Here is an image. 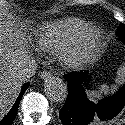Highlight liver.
I'll use <instances>...</instances> for the list:
<instances>
[{
	"label": "liver",
	"mask_w": 125,
	"mask_h": 125,
	"mask_svg": "<svg viewBox=\"0 0 125 125\" xmlns=\"http://www.w3.org/2000/svg\"><path fill=\"white\" fill-rule=\"evenodd\" d=\"M9 26L0 19V118L14 103L23 82L19 78L23 56L14 50Z\"/></svg>",
	"instance_id": "1"
}]
</instances>
